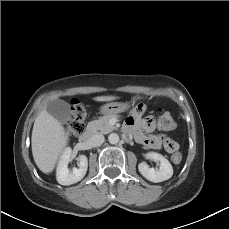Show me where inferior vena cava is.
Instances as JSON below:
<instances>
[{"instance_id":"602c4592","label":"inferior vena cava","mask_w":229,"mask_h":229,"mask_svg":"<svg viewBox=\"0 0 229 229\" xmlns=\"http://www.w3.org/2000/svg\"><path fill=\"white\" fill-rule=\"evenodd\" d=\"M104 136L100 133L93 134L90 138V144L93 147H98L104 142Z\"/></svg>"}]
</instances>
